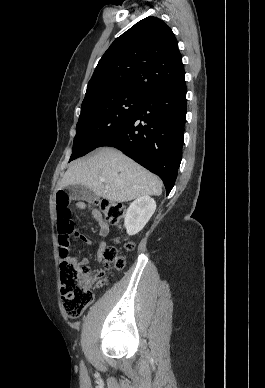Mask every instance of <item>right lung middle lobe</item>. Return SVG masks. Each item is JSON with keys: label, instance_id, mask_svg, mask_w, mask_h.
Wrapping results in <instances>:
<instances>
[{"label": "right lung middle lobe", "instance_id": "right-lung-middle-lobe-1", "mask_svg": "<svg viewBox=\"0 0 265 388\" xmlns=\"http://www.w3.org/2000/svg\"><path fill=\"white\" fill-rule=\"evenodd\" d=\"M143 96L121 91L101 90L86 96L76 126L70 161L84 156L128 119Z\"/></svg>", "mask_w": 265, "mask_h": 388}]
</instances>
